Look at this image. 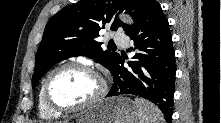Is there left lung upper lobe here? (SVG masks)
Returning <instances> with one entry per match:
<instances>
[{
    "instance_id": "obj_1",
    "label": "left lung upper lobe",
    "mask_w": 221,
    "mask_h": 123,
    "mask_svg": "<svg viewBox=\"0 0 221 123\" xmlns=\"http://www.w3.org/2000/svg\"><path fill=\"white\" fill-rule=\"evenodd\" d=\"M154 0H81L56 13L46 25L35 59L32 76L34 89L39 79L56 63L76 56H86L104 65L111 72L120 55L103 50L95 39L101 28L123 27L125 34L134 28L123 24L114 14L125 10L135 26Z\"/></svg>"
}]
</instances>
